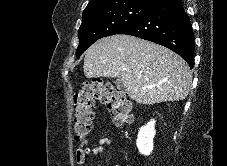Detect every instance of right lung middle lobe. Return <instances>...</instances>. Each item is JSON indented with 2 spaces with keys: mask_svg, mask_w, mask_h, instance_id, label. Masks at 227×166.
<instances>
[{
  "mask_svg": "<svg viewBox=\"0 0 227 166\" xmlns=\"http://www.w3.org/2000/svg\"><path fill=\"white\" fill-rule=\"evenodd\" d=\"M153 7L147 4L129 2L83 13L82 24L78 32L77 58L95 41L118 34L145 16Z\"/></svg>",
  "mask_w": 227,
  "mask_h": 166,
  "instance_id": "right-lung-middle-lobe-1",
  "label": "right lung middle lobe"
}]
</instances>
